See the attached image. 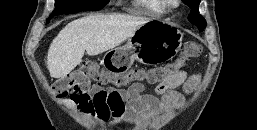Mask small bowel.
<instances>
[{
    "label": "small bowel",
    "instance_id": "small-bowel-1",
    "mask_svg": "<svg viewBox=\"0 0 257 130\" xmlns=\"http://www.w3.org/2000/svg\"><path fill=\"white\" fill-rule=\"evenodd\" d=\"M198 82V75H189L185 70H181L156 86L157 95L145 93V87L141 83H133L125 90L104 89L94 85L86 100L58 98V102L100 123H106L113 118L112 124H115L126 117L129 126L146 128L159 111L179 105L184 94L193 92ZM178 87L183 88V93L176 91Z\"/></svg>",
    "mask_w": 257,
    "mask_h": 130
}]
</instances>
